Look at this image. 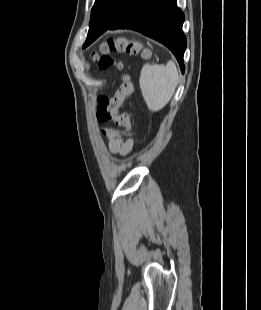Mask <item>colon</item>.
Segmentation results:
<instances>
[{
	"instance_id": "1",
	"label": "colon",
	"mask_w": 261,
	"mask_h": 310,
	"mask_svg": "<svg viewBox=\"0 0 261 310\" xmlns=\"http://www.w3.org/2000/svg\"><path fill=\"white\" fill-rule=\"evenodd\" d=\"M100 51L105 54L99 60V67L107 69L114 64V61L109 57L110 52H125L130 56L141 54L145 58H150L152 52L148 48H144L138 40L128 39L125 37L111 38L104 42ZM134 92L133 84L130 78L121 74L120 85L116 93L110 97H102L98 100L96 117L100 122L113 121L118 129L104 131L110 137L128 138L131 135V121L128 113L120 112L119 109L125 100Z\"/></svg>"
}]
</instances>
